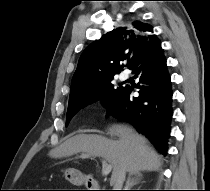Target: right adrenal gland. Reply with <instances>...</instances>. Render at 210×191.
<instances>
[{
	"instance_id": "obj_1",
	"label": "right adrenal gland",
	"mask_w": 210,
	"mask_h": 191,
	"mask_svg": "<svg viewBox=\"0 0 210 191\" xmlns=\"http://www.w3.org/2000/svg\"><path fill=\"white\" fill-rule=\"evenodd\" d=\"M141 178H142L141 172L130 173L128 175V179L126 181L124 190H130V187H133L134 185L138 184Z\"/></svg>"
}]
</instances>
